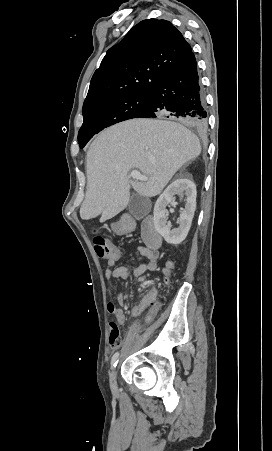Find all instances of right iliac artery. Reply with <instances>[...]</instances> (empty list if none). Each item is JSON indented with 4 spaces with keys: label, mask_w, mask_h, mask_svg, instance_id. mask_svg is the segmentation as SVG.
Returning <instances> with one entry per match:
<instances>
[{
    "label": "right iliac artery",
    "mask_w": 272,
    "mask_h": 451,
    "mask_svg": "<svg viewBox=\"0 0 272 451\" xmlns=\"http://www.w3.org/2000/svg\"><path fill=\"white\" fill-rule=\"evenodd\" d=\"M118 360H119V353L116 352V353L113 355L112 360H111V366H112V368H115V367L117 366Z\"/></svg>",
    "instance_id": "82829eb1"
}]
</instances>
